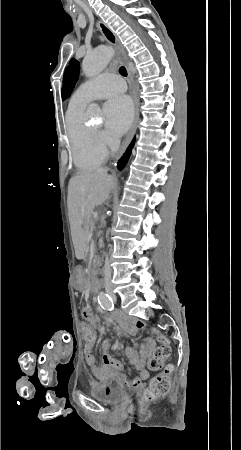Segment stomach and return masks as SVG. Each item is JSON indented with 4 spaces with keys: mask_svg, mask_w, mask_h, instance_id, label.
<instances>
[{
    "mask_svg": "<svg viewBox=\"0 0 241 450\" xmlns=\"http://www.w3.org/2000/svg\"><path fill=\"white\" fill-rule=\"evenodd\" d=\"M73 281L75 282L76 286L79 289H81L85 286V277H84V274L82 273V270L79 267H77L74 270Z\"/></svg>",
    "mask_w": 241,
    "mask_h": 450,
    "instance_id": "0dacf381",
    "label": "stomach"
}]
</instances>
